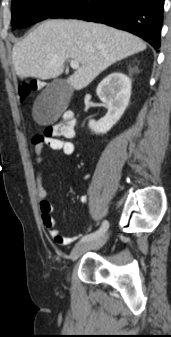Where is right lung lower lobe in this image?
Returning <instances> with one entry per match:
<instances>
[{
  "instance_id": "right-lung-lower-lobe-1",
  "label": "right lung lower lobe",
  "mask_w": 171,
  "mask_h": 337,
  "mask_svg": "<svg viewBox=\"0 0 171 337\" xmlns=\"http://www.w3.org/2000/svg\"><path fill=\"white\" fill-rule=\"evenodd\" d=\"M164 0H73L49 18H77L131 32L158 51Z\"/></svg>"
}]
</instances>
